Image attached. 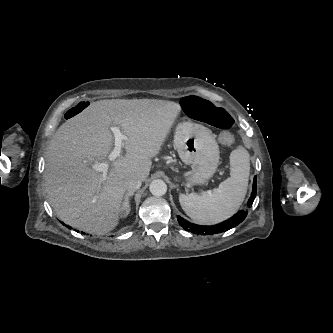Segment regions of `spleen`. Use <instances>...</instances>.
<instances>
[{
  "label": "spleen",
  "mask_w": 333,
  "mask_h": 333,
  "mask_svg": "<svg viewBox=\"0 0 333 333\" xmlns=\"http://www.w3.org/2000/svg\"><path fill=\"white\" fill-rule=\"evenodd\" d=\"M230 177L218 188L202 194H180L179 202L185 213L200 224H216L232 216L242 204L248 186L250 157L244 148L230 153Z\"/></svg>",
  "instance_id": "spleen-1"
}]
</instances>
